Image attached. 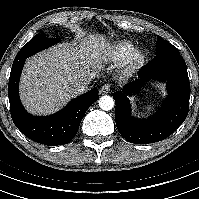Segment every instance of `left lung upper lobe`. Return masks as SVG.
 I'll return each mask as SVG.
<instances>
[{"label": "left lung upper lobe", "instance_id": "1", "mask_svg": "<svg viewBox=\"0 0 199 199\" xmlns=\"http://www.w3.org/2000/svg\"><path fill=\"white\" fill-rule=\"evenodd\" d=\"M157 55H163L167 53H179L178 49L164 40L162 37L158 36L157 37Z\"/></svg>", "mask_w": 199, "mask_h": 199}]
</instances>
